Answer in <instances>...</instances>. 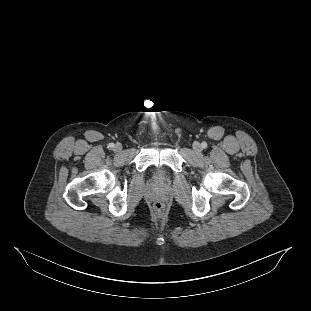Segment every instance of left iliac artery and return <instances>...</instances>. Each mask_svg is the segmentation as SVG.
Segmentation results:
<instances>
[{
    "instance_id": "left-iliac-artery-1",
    "label": "left iliac artery",
    "mask_w": 311,
    "mask_h": 311,
    "mask_svg": "<svg viewBox=\"0 0 311 311\" xmlns=\"http://www.w3.org/2000/svg\"><path fill=\"white\" fill-rule=\"evenodd\" d=\"M201 146H202V148H206L207 147V143L206 142H202Z\"/></svg>"
}]
</instances>
